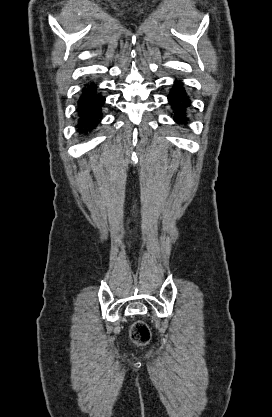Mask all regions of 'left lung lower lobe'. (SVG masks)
<instances>
[{"label": "left lung lower lobe", "instance_id": "left-lung-lower-lobe-1", "mask_svg": "<svg viewBox=\"0 0 272 417\" xmlns=\"http://www.w3.org/2000/svg\"><path fill=\"white\" fill-rule=\"evenodd\" d=\"M168 100L174 110L175 122L186 123V114L191 101L182 84L174 83V86L168 95Z\"/></svg>", "mask_w": 272, "mask_h": 417}]
</instances>
